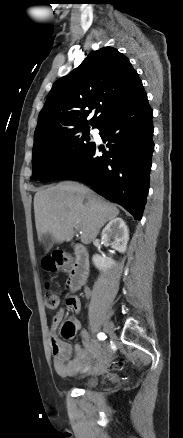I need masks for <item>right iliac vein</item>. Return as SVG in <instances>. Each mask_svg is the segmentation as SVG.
<instances>
[{"instance_id":"right-iliac-vein-1","label":"right iliac vein","mask_w":183,"mask_h":438,"mask_svg":"<svg viewBox=\"0 0 183 438\" xmlns=\"http://www.w3.org/2000/svg\"><path fill=\"white\" fill-rule=\"evenodd\" d=\"M104 331H105L106 333H108L109 335H114V332H113V326H112L111 323H106V324L104 325Z\"/></svg>"}]
</instances>
